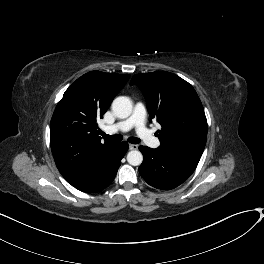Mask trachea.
I'll list each match as a JSON object with an SVG mask.
<instances>
[{"label":"trachea","instance_id":"trachea-1","mask_svg":"<svg viewBox=\"0 0 264 264\" xmlns=\"http://www.w3.org/2000/svg\"><path fill=\"white\" fill-rule=\"evenodd\" d=\"M101 135L103 136V138L112 140V141H121L123 139V137L121 135L115 134V135H107L103 132H101ZM140 139L137 137H129L128 138V142L132 143V144H138L140 143Z\"/></svg>","mask_w":264,"mask_h":264}]
</instances>
